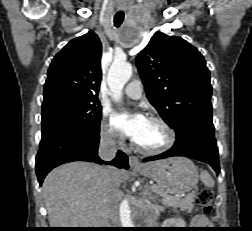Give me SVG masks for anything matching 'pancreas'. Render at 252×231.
<instances>
[{
    "label": "pancreas",
    "instance_id": "1",
    "mask_svg": "<svg viewBox=\"0 0 252 231\" xmlns=\"http://www.w3.org/2000/svg\"><path fill=\"white\" fill-rule=\"evenodd\" d=\"M158 195H162L164 198L162 199V203L168 206H172L174 208L179 207L181 210H192L194 207L193 202L195 201L196 194H188L184 198H174V199H167L165 196L166 194H163L160 192L158 186H154V190H152Z\"/></svg>",
    "mask_w": 252,
    "mask_h": 231
}]
</instances>
